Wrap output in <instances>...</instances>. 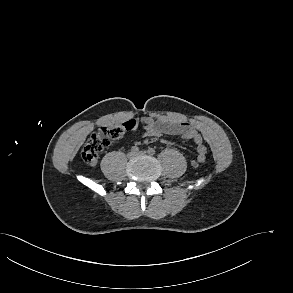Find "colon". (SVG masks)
I'll return each mask as SVG.
<instances>
[{
  "label": "colon",
  "instance_id": "colon-1",
  "mask_svg": "<svg viewBox=\"0 0 293 293\" xmlns=\"http://www.w3.org/2000/svg\"><path fill=\"white\" fill-rule=\"evenodd\" d=\"M134 126L133 121H128L123 126H108L102 127L96 130L85 143L81 157L83 161L88 165H95L99 154L108 146L118 141L123 133L124 128H132ZM205 161V154H201L197 157V160L193 162L195 167L199 166Z\"/></svg>",
  "mask_w": 293,
  "mask_h": 293
}]
</instances>
